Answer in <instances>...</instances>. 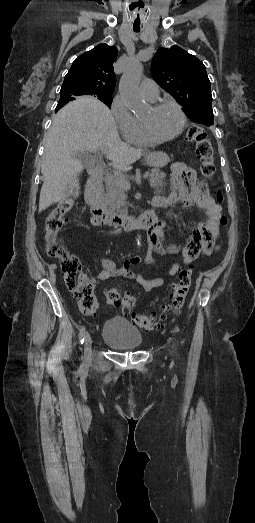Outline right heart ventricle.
Listing matches in <instances>:
<instances>
[{
  "label": "right heart ventricle",
  "instance_id": "e07e8e85",
  "mask_svg": "<svg viewBox=\"0 0 255 523\" xmlns=\"http://www.w3.org/2000/svg\"><path fill=\"white\" fill-rule=\"evenodd\" d=\"M155 100H150V101H155ZM125 138L128 143L133 144V145L142 146V145H147L150 143V141L146 138V136L143 133L140 117L133 116L131 126L128 129V131L125 133Z\"/></svg>",
  "mask_w": 255,
  "mask_h": 523
}]
</instances>
